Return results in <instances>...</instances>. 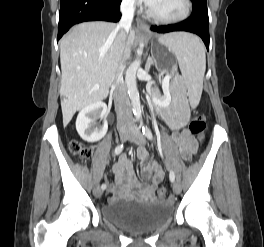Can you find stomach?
<instances>
[{
	"label": "stomach",
	"instance_id": "obj_1",
	"mask_svg": "<svg viewBox=\"0 0 264 247\" xmlns=\"http://www.w3.org/2000/svg\"><path fill=\"white\" fill-rule=\"evenodd\" d=\"M170 36L165 35L158 39V44H151L153 49L155 68L163 71L164 75H170L173 68L176 67L174 53H169V46L166 41Z\"/></svg>",
	"mask_w": 264,
	"mask_h": 247
}]
</instances>
